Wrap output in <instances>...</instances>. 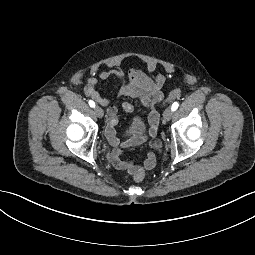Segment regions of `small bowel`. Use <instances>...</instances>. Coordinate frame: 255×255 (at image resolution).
Instances as JSON below:
<instances>
[{
  "mask_svg": "<svg viewBox=\"0 0 255 255\" xmlns=\"http://www.w3.org/2000/svg\"><path fill=\"white\" fill-rule=\"evenodd\" d=\"M155 64H150L148 70L154 72ZM92 75L87 78L84 93L96 103L106 108L108 114L105 136L113 146L110 160L113 167L122 173L133 175L139 170L148 171L156 166L157 155L160 153L162 144L156 138L159 113L156 109L157 104L162 100V87L164 76L156 74L154 76L138 71L130 70L125 72L119 67L107 70L92 69ZM111 77L116 78L120 83L118 96L128 97L138 100L142 107L148 111L149 128L143 135H132L124 141H120L116 136V126L119 122V112L130 113L133 111L131 103L124 101L119 106L111 104L110 100L103 97L98 89V78L107 80ZM148 146L151 150L146 154L143 165L139 166L132 161L122 159L123 150L130 147Z\"/></svg>",
  "mask_w": 255,
  "mask_h": 255,
  "instance_id": "obj_1",
  "label": "small bowel"
}]
</instances>
